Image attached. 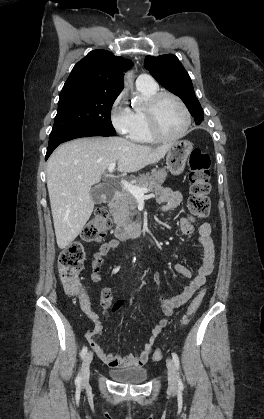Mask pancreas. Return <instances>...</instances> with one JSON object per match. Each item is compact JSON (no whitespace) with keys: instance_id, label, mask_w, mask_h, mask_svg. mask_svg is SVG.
Returning <instances> with one entry per match:
<instances>
[{"instance_id":"obj_1","label":"pancreas","mask_w":264,"mask_h":419,"mask_svg":"<svg viewBox=\"0 0 264 419\" xmlns=\"http://www.w3.org/2000/svg\"><path fill=\"white\" fill-rule=\"evenodd\" d=\"M166 177L167 171L164 168L153 169L151 173L139 175L133 180V184L140 188H148L153 192L161 188ZM136 207V198L123 187L112 209L115 221L119 224L131 223L137 214Z\"/></svg>"}]
</instances>
